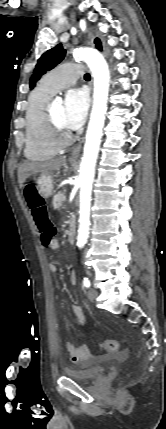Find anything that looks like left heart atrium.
Here are the masks:
<instances>
[{
    "label": "left heart atrium",
    "instance_id": "1",
    "mask_svg": "<svg viewBox=\"0 0 166 429\" xmlns=\"http://www.w3.org/2000/svg\"><path fill=\"white\" fill-rule=\"evenodd\" d=\"M89 98L82 89L68 91L63 105V123L69 131L80 128L87 116Z\"/></svg>",
    "mask_w": 166,
    "mask_h": 429
}]
</instances>
